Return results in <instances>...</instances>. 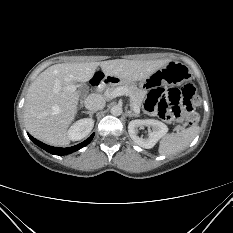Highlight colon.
Instances as JSON below:
<instances>
[{"label":"colon","instance_id":"obj_1","mask_svg":"<svg viewBox=\"0 0 233 233\" xmlns=\"http://www.w3.org/2000/svg\"><path fill=\"white\" fill-rule=\"evenodd\" d=\"M198 102L195 87L186 84L179 88H155L148 93L144 108L148 113L155 114L169 121L184 120L189 125L199 122V115L194 111Z\"/></svg>","mask_w":233,"mask_h":233}]
</instances>
